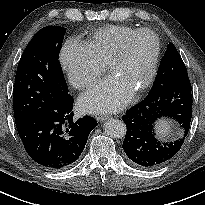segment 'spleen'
Wrapping results in <instances>:
<instances>
[{"label": "spleen", "instance_id": "spleen-1", "mask_svg": "<svg viewBox=\"0 0 205 205\" xmlns=\"http://www.w3.org/2000/svg\"><path fill=\"white\" fill-rule=\"evenodd\" d=\"M157 134L162 138H169L172 135V125L166 120H161L157 123Z\"/></svg>", "mask_w": 205, "mask_h": 205}]
</instances>
